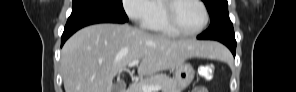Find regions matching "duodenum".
<instances>
[{
	"label": "duodenum",
	"mask_w": 296,
	"mask_h": 92,
	"mask_svg": "<svg viewBox=\"0 0 296 92\" xmlns=\"http://www.w3.org/2000/svg\"><path fill=\"white\" fill-rule=\"evenodd\" d=\"M122 92H133V90L131 87H128V88L124 89Z\"/></svg>",
	"instance_id": "duodenum-1"
}]
</instances>
